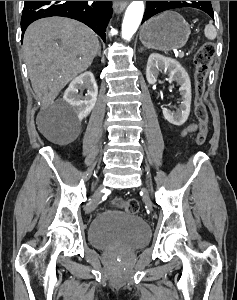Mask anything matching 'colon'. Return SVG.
Here are the masks:
<instances>
[{
    "mask_svg": "<svg viewBox=\"0 0 237 300\" xmlns=\"http://www.w3.org/2000/svg\"><path fill=\"white\" fill-rule=\"evenodd\" d=\"M215 55V45L207 41L197 50L194 57L195 72V114L199 123L196 136L197 145L204 144L208 132V112L203 98L206 90V82L210 74L211 65ZM114 205L127 213L136 214L139 211V203L135 199L117 198Z\"/></svg>",
    "mask_w": 237,
    "mask_h": 300,
    "instance_id": "obj_1",
    "label": "colon"
}]
</instances>
